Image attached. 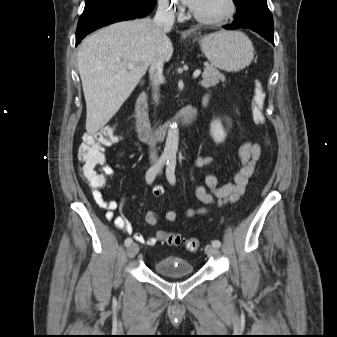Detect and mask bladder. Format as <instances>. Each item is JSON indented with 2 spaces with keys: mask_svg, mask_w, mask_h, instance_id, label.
Listing matches in <instances>:
<instances>
[{
  "mask_svg": "<svg viewBox=\"0 0 337 337\" xmlns=\"http://www.w3.org/2000/svg\"><path fill=\"white\" fill-rule=\"evenodd\" d=\"M157 274L165 277L189 276L195 272L194 266L180 256H165L154 263Z\"/></svg>",
  "mask_w": 337,
  "mask_h": 337,
  "instance_id": "31cf9c89",
  "label": "bladder"
}]
</instances>
